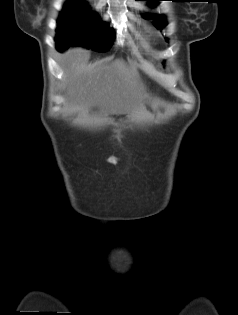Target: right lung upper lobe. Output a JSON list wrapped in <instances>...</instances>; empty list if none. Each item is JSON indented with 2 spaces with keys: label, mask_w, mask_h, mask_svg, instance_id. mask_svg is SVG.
Wrapping results in <instances>:
<instances>
[{
  "label": "right lung upper lobe",
  "mask_w": 238,
  "mask_h": 315,
  "mask_svg": "<svg viewBox=\"0 0 238 315\" xmlns=\"http://www.w3.org/2000/svg\"><path fill=\"white\" fill-rule=\"evenodd\" d=\"M70 1H79V2H84L83 0H70Z\"/></svg>",
  "instance_id": "obj_1"
}]
</instances>
